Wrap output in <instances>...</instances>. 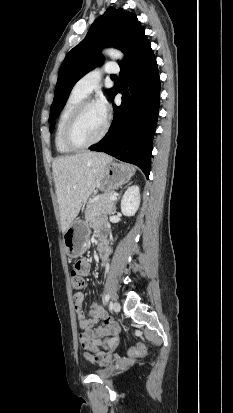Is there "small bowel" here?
I'll list each match as a JSON object with an SVG mask.
<instances>
[{
  "mask_svg": "<svg viewBox=\"0 0 233 413\" xmlns=\"http://www.w3.org/2000/svg\"><path fill=\"white\" fill-rule=\"evenodd\" d=\"M92 226L100 229L103 222L93 221ZM102 264L106 265L109 261L110 249L107 244L103 243L98 248ZM75 270H79L82 276L88 275L90 265L86 261H75L73 264ZM77 319L82 333L79 336L82 348L85 350V356L92 362L105 365L110 362L113 351L117 346L115 338L109 339L103 343L101 339L117 332L118 326L116 321L102 308L98 302L91 305L89 316L86 317L82 309L84 294L77 292L73 296Z\"/></svg>",
  "mask_w": 233,
  "mask_h": 413,
  "instance_id": "1",
  "label": "small bowel"
}]
</instances>
